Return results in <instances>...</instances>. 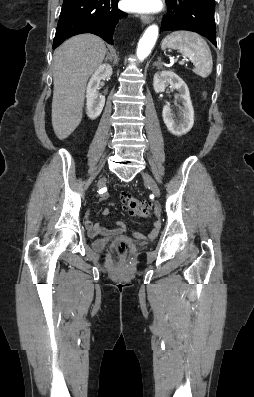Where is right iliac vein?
Instances as JSON below:
<instances>
[{"label": "right iliac vein", "instance_id": "63e3f726", "mask_svg": "<svg viewBox=\"0 0 254 397\" xmlns=\"http://www.w3.org/2000/svg\"><path fill=\"white\" fill-rule=\"evenodd\" d=\"M104 183V178L100 179L98 182V186L100 187Z\"/></svg>", "mask_w": 254, "mask_h": 397}]
</instances>
